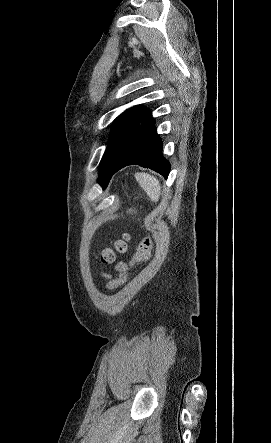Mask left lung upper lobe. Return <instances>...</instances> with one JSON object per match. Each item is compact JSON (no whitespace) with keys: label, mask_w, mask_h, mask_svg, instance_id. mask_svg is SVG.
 <instances>
[{"label":"left lung upper lobe","mask_w":271,"mask_h":443,"mask_svg":"<svg viewBox=\"0 0 271 443\" xmlns=\"http://www.w3.org/2000/svg\"><path fill=\"white\" fill-rule=\"evenodd\" d=\"M140 106L133 107L130 110L119 116L112 124V130L110 133V142L107 146L106 152L101 160L100 173L98 182L103 188L108 185L111 176L110 170L115 160L119 144L124 136L125 130L133 122L137 116Z\"/></svg>","instance_id":"1"}]
</instances>
